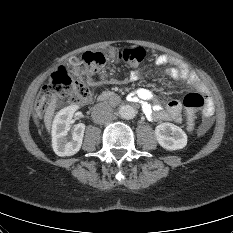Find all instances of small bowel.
Listing matches in <instances>:
<instances>
[{"label":"small bowel","instance_id":"obj_1","mask_svg":"<svg viewBox=\"0 0 233 233\" xmlns=\"http://www.w3.org/2000/svg\"><path fill=\"white\" fill-rule=\"evenodd\" d=\"M158 66L172 65L167 70V75L173 79L186 82L190 87L208 97V92L202 81L190 70L180 66L172 57L162 54L155 59ZM140 70L136 69L130 73V78L135 80L139 77ZM154 95L151 90L146 88L138 89L136 92L128 96V100L132 103H139L145 116L151 121H173L180 122L183 118L182 104L178 100L170 101L166 106H162L159 102L153 101ZM214 106L210 99H207L205 108L203 109V122L200 131L205 132L211 125L210 116L212 115ZM191 127V123L189 125Z\"/></svg>","mask_w":233,"mask_h":233}]
</instances>
